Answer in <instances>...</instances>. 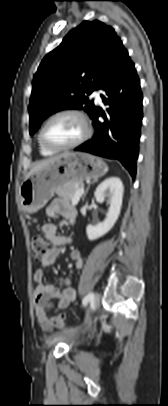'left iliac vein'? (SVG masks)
<instances>
[{"instance_id": "4c4485c4", "label": "left iliac vein", "mask_w": 168, "mask_h": 406, "mask_svg": "<svg viewBox=\"0 0 168 406\" xmlns=\"http://www.w3.org/2000/svg\"><path fill=\"white\" fill-rule=\"evenodd\" d=\"M100 305V294L99 293H95L93 295V298L91 299V312L93 313L95 310H97L99 308ZM79 330V328L61 333L57 339H61L63 336L67 335V334H74Z\"/></svg>"}]
</instances>
